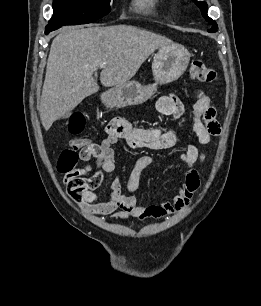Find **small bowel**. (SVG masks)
I'll return each mask as SVG.
<instances>
[{"label": "small bowel", "instance_id": "small-bowel-1", "mask_svg": "<svg viewBox=\"0 0 261 306\" xmlns=\"http://www.w3.org/2000/svg\"><path fill=\"white\" fill-rule=\"evenodd\" d=\"M157 111L162 115L172 116L176 119L185 114L183 102L175 95H165L158 99L156 103ZM191 130L200 145L210 144L212 137L220 135L221 128L216 120V110L211 105L210 99L199 94L192 106V126ZM107 136L101 142L100 147L103 157L100 160L101 171L86 177L91 170L90 166L79 170L86 181L92 184L82 192V208L96 216H110L114 219H128L131 217L161 218L170 214L180 213L186 209L199 187V176L196 165L202 163L206 158V153L200 151L192 142H187L185 150L180 154V160L187 168V173L182 186L179 188L171 201H163L156 205L144 206L137 202L133 193L138 189L143 171L153 163L151 156L140 157L128 178L127 190L130 195L122 192L120 179H116L111 187V193L107 200L98 201L96 188L102 182L103 174H111L115 170V153L113 145L119 140H124L131 149H166L174 146L184 137L182 133L176 131H164L159 127L140 128L124 119L112 120L106 128ZM84 160L91 158L80 153Z\"/></svg>", "mask_w": 261, "mask_h": 306}]
</instances>
